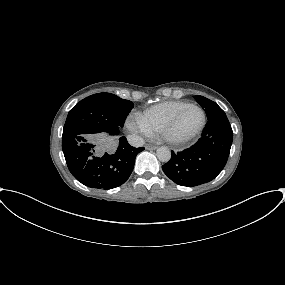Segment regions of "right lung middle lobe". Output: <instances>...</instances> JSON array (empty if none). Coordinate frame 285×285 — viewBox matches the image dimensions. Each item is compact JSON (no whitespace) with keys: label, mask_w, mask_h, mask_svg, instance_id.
I'll use <instances>...</instances> for the list:
<instances>
[{"label":"right lung middle lobe","mask_w":285,"mask_h":285,"mask_svg":"<svg viewBox=\"0 0 285 285\" xmlns=\"http://www.w3.org/2000/svg\"><path fill=\"white\" fill-rule=\"evenodd\" d=\"M133 103L111 93H97L78 102L68 113L63 140L79 135H118Z\"/></svg>","instance_id":"right-lung-middle-lobe-1"}]
</instances>
